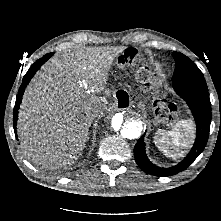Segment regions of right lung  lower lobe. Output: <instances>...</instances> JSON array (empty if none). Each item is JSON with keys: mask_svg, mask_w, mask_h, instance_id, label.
I'll list each match as a JSON object with an SVG mask.
<instances>
[{"mask_svg": "<svg viewBox=\"0 0 221 221\" xmlns=\"http://www.w3.org/2000/svg\"><path fill=\"white\" fill-rule=\"evenodd\" d=\"M52 55H53V53H48L45 56H43L42 58H40L39 60H37L29 68V70L27 71V73L23 77L22 84L19 88L18 95H17L16 102H15V107H14V115H13L14 116V126L16 125L19 105L21 103L22 96H23L26 86L28 85L30 79L33 77V75L36 73V71L41 67V65H43Z\"/></svg>", "mask_w": 221, "mask_h": 221, "instance_id": "1", "label": "right lung lower lobe"}]
</instances>
